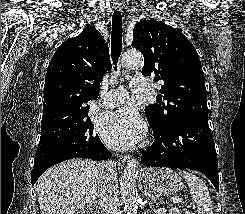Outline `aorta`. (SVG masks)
<instances>
[{"label": "aorta", "instance_id": "obj_1", "mask_svg": "<svg viewBox=\"0 0 245 214\" xmlns=\"http://www.w3.org/2000/svg\"><path fill=\"white\" fill-rule=\"evenodd\" d=\"M144 58L138 51H129L123 54L121 66L127 69L141 68ZM138 177V162L132 158L128 161L121 179V190L127 214H137L139 195L136 180Z\"/></svg>", "mask_w": 245, "mask_h": 214}]
</instances>
